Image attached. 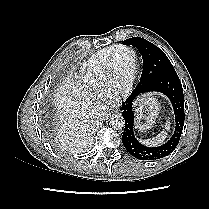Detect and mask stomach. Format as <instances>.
<instances>
[{
  "instance_id": "obj_1",
  "label": "stomach",
  "mask_w": 209,
  "mask_h": 209,
  "mask_svg": "<svg viewBox=\"0 0 209 209\" xmlns=\"http://www.w3.org/2000/svg\"><path fill=\"white\" fill-rule=\"evenodd\" d=\"M160 111V105L156 98L145 97L136 108V128L140 131L150 129Z\"/></svg>"
}]
</instances>
